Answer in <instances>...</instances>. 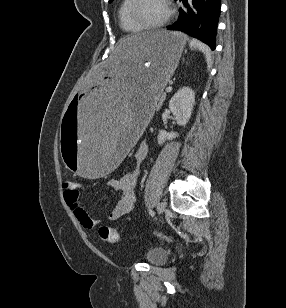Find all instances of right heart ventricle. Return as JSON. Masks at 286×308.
I'll list each match as a JSON object with an SVG mask.
<instances>
[{
  "label": "right heart ventricle",
  "instance_id": "e07e8e85",
  "mask_svg": "<svg viewBox=\"0 0 286 308\" xmlns=\"http://www.w3.org/2000/svg\"><path fill=\"white\" fill-rule=\"evenodd\" d=\"M132 0H122L118 8V22L120 28L130 34L141 32L143 29L136 25L129 16V8Z\"/></svg>",
  "mask_w": 286,
  "mask_h": 308
}]
</instances>
